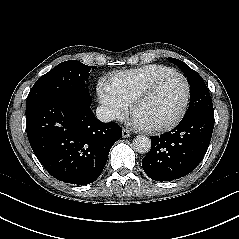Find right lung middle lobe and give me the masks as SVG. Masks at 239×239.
<instances>
[{"label":"right lung middle lobe","mask_w":239,"mask_h":239,"mask_svg":"<svg viewBox=\"0 0 239 239\" xmlns=\"http://www.w3.org/2000/svg\"><path fill=\"white\" fill-rule=\"evenodd\" d=\"M77 60H69L58 64L41 76L32 87L26 104L45 97H70L74 95L89 96L85 82L90 76V69Z\"/></svg>","instance_id":"1"}]
</instances>
